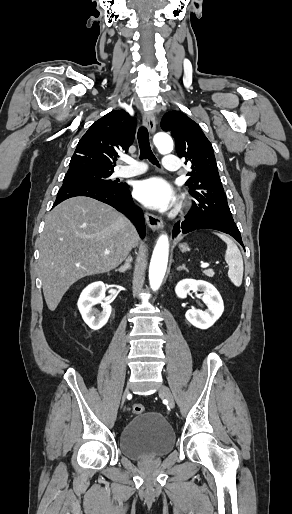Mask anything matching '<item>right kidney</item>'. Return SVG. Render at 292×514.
<instances>
[{"mask_svg": "<svg viewBox=\"0 0 292 514\" xmlns=\"http://www.w3.org/2000/svg\"><path fill=\"white\" fill-rule=\"evenodd\" d=\"M106 288L103 282H93L83 290L78 300V310L91 330H100L107 324L112 312L109 304H103ZM96 304H102V312L93 308Z\"/></svg>", "mask_w": 292, "mask_h": 514, "instance_id": "ca27d5eb", "label": "right kidney"}]
</instances>
